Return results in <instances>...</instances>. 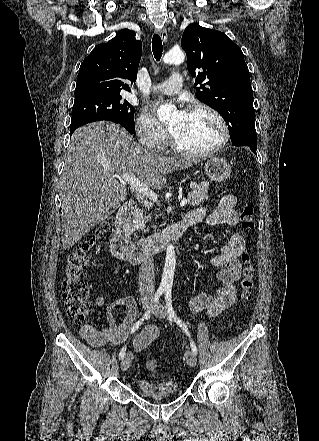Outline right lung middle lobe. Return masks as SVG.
Masks as SVG:
<instances>
[{"instance_id": "right-lung-middle-lobe-1", "label": "right lung middle lobe", "mask_w": 319, "mask_h": 441, "mask_svg": "<svg viewBox=\"0 0 319 441\" xmlns=\"http://www.w3.org/2000/svg\"><path fill=\"white\" fill-rule=\"evenodd\" d=\"M121 99V96H94L74 100L71 126L99 119H110L133 133L135 130L133 106Z\"/></svg>"}]
</instances>
